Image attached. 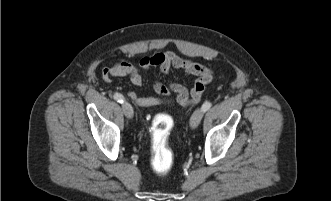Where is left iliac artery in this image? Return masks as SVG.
I'll return each instance as SVG.
<instances>
[{
	"instance_id": "left-iliac-artery-1",
	"label": "left iliac artery",
	"mask_w": 331,
	"mask_h": 201,
	"mask_svg": "<svg viewBox=\"0 0 331 201\" xmlns=\"http://www.w3.org/2000/svg\"><path fill=\"white\" fill-rule=\"evenodd\" d=\"M211 106H212L211 102L207 101L202 105V109H203L204 112H206L211 108Z\"/></svg>"
}]
</instances>
